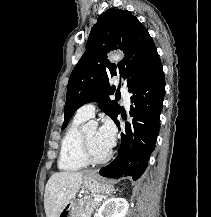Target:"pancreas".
<instances>
[{"mask_svg": "<svg viewBox=\"0 0 211 217\" xmlns=\"http://www.w3.org/2000/svg\"><path fill=\"white\" fill-rule=\"evenodd\" d=\"M98 202H94L90 197H84L79 200L77 206V217H91Z\"/></svg>", "mask_w": 211, "mask_h": 217, "instance_id": "pancreas-1", "label": "pancreas"}]
</instances>
